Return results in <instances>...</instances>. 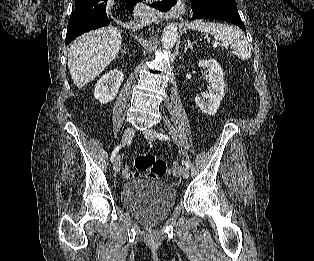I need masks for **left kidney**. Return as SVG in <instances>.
Instances as JSON below:
<instances>
[{
	"instance_id": "5707ae66",
	"label": "left kidney",
	"mask_w": 314,
	"mask_h": 261,
	"mask_svg": "<svg viewBox=\"0 0 314 261\" xmlns=\"http://www.w3.org/2000/svg\"><path fill=\"white\" fill-rule=\"evenodd\" d=\"M198 67L208 68V78L212 83V91L197 95L195 102L202 112L213 116L217 113L220 102L225 96L223 70L215 59L200 60Z\"/></svg>"
}]
</instances>
